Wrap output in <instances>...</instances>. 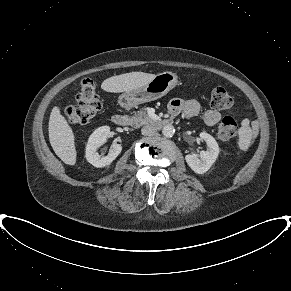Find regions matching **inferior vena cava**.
<instances>
[{
    "mask_svg": "<svg viewBox=\"0 0 291 291\" xmlns=\"http://www.w3.org/2000/svg\"><path fill=\"white\" fill-rule=\"evenodd\" d=\"M141 133L146 136H152L156 133V128L153 125H146L141 129Z\"/></svg>",
    "mask_w": 291,
    "mask_h": 291,
    "instance_id": "obj_1",
    "label": "inferior vena cava"
}]
</instances>
